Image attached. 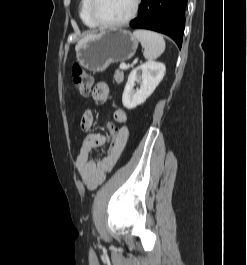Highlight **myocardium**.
Instances as JSON below:
<instances>
[{
    "label": "myocardium",
    "mask_w": 247,
    "mask_h": 265,
    "mask_svg": "<svg viewBox=\"0 0 247 265\" xmlns=\"http://www.w3.org/2000/svg\"><path fill=\"white\" fill-rule=\"evenodd\" d=\"M96 4H97V0H90L89 13H90L91 19L98 27L105 28V29H112V28H118V27L125 26L129 24L130 22H132L138 15L140 5H141V0H134L133 9L126 18L120 21L111 22V23L104 22L98 17L96 13Z\"/></svg>",
    "instance_id": "1"
}]
</instances>
